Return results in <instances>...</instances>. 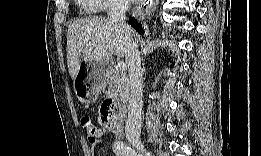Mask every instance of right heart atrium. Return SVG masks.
<instances>
[{
  "label": "right heart atrium",
  "instance_id": "obj_1",
  "mask_svg": "<svg viewBox=\"0 0 261 156\" xmlns=\"http://www.w3.org/2000/svg\"><path fill=\"white\" fill-rule=\"evenodd\" d=\"M92 9L94 10H112L121 7L118 1L114 0H92Z\"/></svg>",
  "mask_w": 261,
  "mask_h": 156
}]
</instances>
